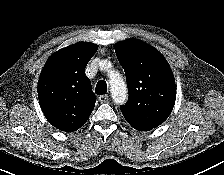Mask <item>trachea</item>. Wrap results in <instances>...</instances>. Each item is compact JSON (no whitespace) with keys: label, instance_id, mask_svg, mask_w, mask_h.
<instances>
[{"label":"trachea","instance_id":"obj_1","mask_svg":"<svg viewBox=\"0 0 224 175\" xmlns=\"http://www.w3.org/2000/svg\"><path fill=\"white\" fill-rule=\"evenodd\" d=\"M107 92V83L105 81H99L96 89H95V93L102 95V94H106Z\"/></svg>","mask_w":224,"mask_h":175}]
</instances>
